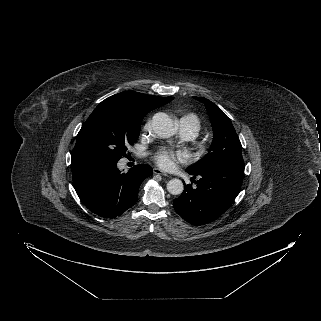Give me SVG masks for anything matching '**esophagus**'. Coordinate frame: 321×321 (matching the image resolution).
Segmentation results:
<instances>
[{
  "label": "esophagus",
  "mask_w": 321,
  "mask_h": 321,
  "mask_svg": "<svg viewBox=\"0 0 321 321\" xmlns=\"http://www.w3.org/2000/svg\"><path fill=\"white\" fill-rule=\"evenodd\" d=\"M153 173L158 174V175H162V176H168L165 172H163L162 170H160L158 168H154Z\"/></svg>",
  "instance_id": "esophagus-1"
}]
</instances>
